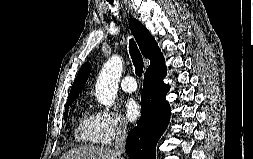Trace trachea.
Segmentation results:
<instances>
[{
    "label": "trachea",
    "instance_id": "obj_1",
    "mask_svg": "<svg viewBox=\"0 0 253 159\" xmlns=\"http://www.w3.org/2000/svg\"><path fill=\"white\" fill-rule=\"evenodd\" d=\"M108 2L110 4L113 3L112 0H109ZM129 52H130V56L132 58V62L135 67V73L138 77H141L143 73V65H144L143 57L133 39H131L129 43Z\"/></svg>",
    "mask_w": 253,
    "mask_h": 159
}]
</instances>
